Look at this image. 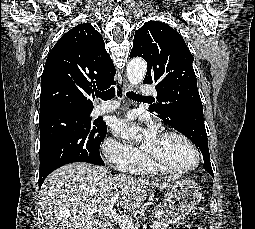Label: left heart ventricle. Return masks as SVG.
I'll return each instance as SVG.
<instances>
[{
    "label": "left heart ventricle",
    "mask_w": 255,
    "mask_h": 229,
    "mask_svg": "<svg viewBox=\"0 0 255 229\" xmlns=\"http://www.w3.org/2000/svg\"><path fill=\"white\" fill-rule=\"evenodd\" d=\"M145 153L153 160L168 167H187L194 162L192 149L175 136H157L150 144H143Z\"/></svg>",
    "instance_id": "b2bd125f"
}]
</instances>
